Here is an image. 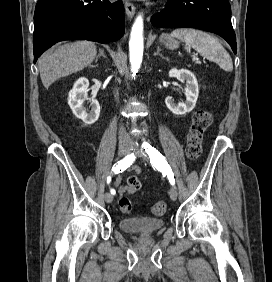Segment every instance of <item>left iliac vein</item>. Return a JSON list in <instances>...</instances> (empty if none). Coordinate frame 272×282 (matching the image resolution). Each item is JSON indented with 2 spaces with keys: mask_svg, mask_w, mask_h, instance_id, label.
I'll use <instances>...</instances> for the list:
<instances>
[{
  "mask_svg": "<svg viewBox=\"0 0 272 282\" xmlns=\"http://www.w3.org/2000/svg\"><path fill=\"white\" fill-rule=\"evenodd\" d=\"M130 151L134 152L138 157L145 159V153L139 148L138 144L133 140L130 141ZM169 196L172 200H176L178 197L177 190L174 187L169 189Z\"/></svg>",
  "mask_w": 272,
  "mask_h": 282,
  "instance_id": "left-iliac-vein-1",
  "label": "left iliac vein"
}]
</instances>
